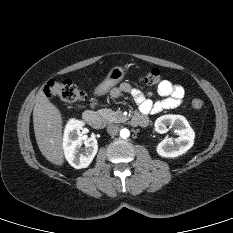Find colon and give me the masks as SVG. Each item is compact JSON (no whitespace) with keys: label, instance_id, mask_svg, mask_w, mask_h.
Returning <instances> with one entry per match:
<instances>
[{"label":"colon","instance_id":"1","mask_svg":"<svg viewBox=\"0 0 233 233\" xmlns=\"http://www.w3.org/2000/svg\"><path fill=\"white\" fill-rule=\"evenodd\" d=\"M141 80L148 85H156L162 82V76L158 69L152 68L141 75ZM44 93L49 98H58L68 103L82 101L86 98V93L71 80L52 79L46 84ZM191 104L194 109H201L204 102L195 98Z\"/></svg>","mask_w":233,"mask_h":233}]
</instances>
